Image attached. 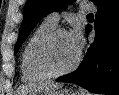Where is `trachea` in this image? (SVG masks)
Wrapping results in <instances>:
<instances>
[{
    "label": "trachea",
    "mask_w": 119,
    "mask_h": 95,
    "mask_svg": "<svg viewBox=\"0 0 119 95\" xmlns=\"http://www.w3.org/2000/svg\"><path fill=\"white\" fill-rule=\"evenodd\" d=\"M87 16H90V17H92V16H93V14H91V13H90V14H88Z\"/></svg>",
    "instance_id": "obj_1"
}]
</instances>
